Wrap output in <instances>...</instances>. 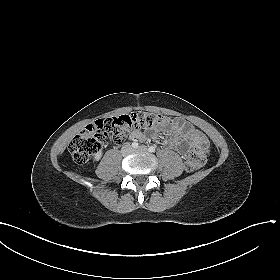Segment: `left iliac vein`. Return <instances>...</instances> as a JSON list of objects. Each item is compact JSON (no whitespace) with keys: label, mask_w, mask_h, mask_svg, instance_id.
Returning a JSON list of instances; mask_svg holds the SVG:
<instances>
[{"label":"left iliac vein","mask_w":280,"mask_h":280,"mask_svg":"<svg viewBox=\"0 0 280 280\" xmlns=\"http://www.w3.org/2000/svg\"><path fill=\"white\" fill-rule=\"evenodd\" d=\"M134 151L146 152L147 148L145 146H140L137 150H134Z\"/></svg>","instance_id":"4c4485c4"}]
</instances>
